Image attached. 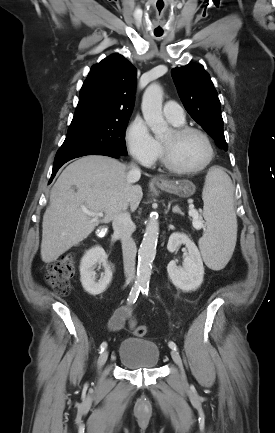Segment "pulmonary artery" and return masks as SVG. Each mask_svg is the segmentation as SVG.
I'll return each instance as SVG.
<instances>
[{"instance_id": "e3ab8cb5", "label": "pulmonary artery", "mask_w": 275, "mask_h": 433, "mask_svg": "<svg viewBox=\"0 0 275 433\" xmlns=\"http://www.w3.org/2000/svg\"><path fill=\"white\" fill-rule=\"evenodd\" d=\"M163 113L168 120L181 122L185 119L184 109L180 104L174 101H168L164 104Z\"/></svg>"}]
</instances>
